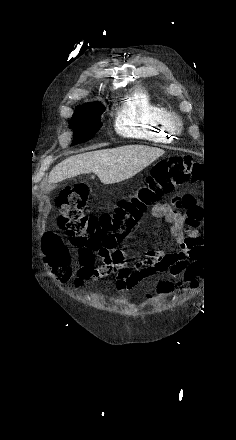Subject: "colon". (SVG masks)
I'll use <instances>...</instances> for the list:
<instances>
[{"label":"colon","mask_w":236,"mask_h":440,"mask_svg":"<svg viewBox=\"0 0 236 440\" xmlns=\"http://www.w3.org/2000/svg\"><path fill=\"white\" fill-rule=\"evenodd\" d=\"M201 179L198 163L190 156H175L159 162L138 189L119 200L113 213L99 216L88 213L90 188L78 184L63 190L56 200L60 210L59 227L75 246L92 250H111L125 240L143 213L151 205L176 188L194 184ZM47 261L52 272L65 276L68 267L60 258L61 237L54 232L44 235ZM170 283L161 282L159 289L167 291Z\"/></svg>","instance_id":"colon-1"}]
</instances>
